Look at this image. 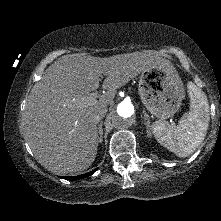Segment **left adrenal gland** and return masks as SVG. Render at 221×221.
<instances>
[{"instance_id":"a2214340","label":"left adrenal gland","mask_w":221,"mask_h":221,"mask_svg":"<svg viewBox=\"0 0 221 221\" xmlns=\"http://www.w3.org/2000/svg\"><path fill=\"white\" fill-rule=\"evenodd\" d=\"M143 114H144V124L146 125V134L147 136H151V131H150V117L149 115L146 113L145 110H143Z\"/></svg>"}]
</instances>
